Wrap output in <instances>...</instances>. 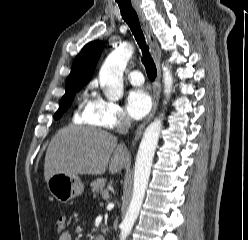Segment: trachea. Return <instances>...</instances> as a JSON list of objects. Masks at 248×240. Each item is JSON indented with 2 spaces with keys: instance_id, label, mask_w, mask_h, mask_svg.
Returning <instances> with one entry per match:
<instances>
[{
  "instance_id": "3493384b",
  "label": "trachea",
  "mask_w": 248,
  "mask_h": 240,
  "mask_svg": "<svg viewBox=\"0 0 248 240\" xmlns=\"http://www.w3.org/2000/svg\"><path fill=\"white\" fill-rule=\"evenodd\" d=\"M116 1L119 5L122 18L128 24L139 47L141 48V51L143 54L142 62L145 66L147 76L150 80L153 81L157 76V69L153 61V58L151 57L149 53V47L146 43L145 36L141 29L138 15L136 11L134 10V8L132 7L130 0L124 1V2L119 1V0H116Z\"/></svg>"
}]
</instances>
